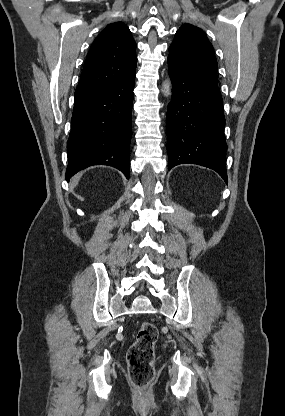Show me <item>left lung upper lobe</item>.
Here are the masks:
<instances>
[{
  "mask_svg": "<svg viewBox=\"0 0 285 416\" xmlns=\"http://www.w3.org/2000/svg\"><path fill=\"white\" fill-rule=\"evenodd\" d=\"M168 61L206 82L217 85L218 64L206 34L191 24L182 25L169 47Z\"/></svg>",
  "mask_w": 285,
  "mask_h": 416,
  "instance_id": "left-lung-upper-lobe-1",
  "label": "left lung upper lobe"
}]
</instances>
